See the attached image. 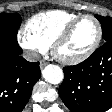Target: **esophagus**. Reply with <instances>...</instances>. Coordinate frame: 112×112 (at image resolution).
<instances>
[{
	"label": "esophagus",
	"mask_w": 112,
	"mask_h": 112,
	"mask_svg": "<svg viewBox=\"0 0 112 112\" xmlns=\"http://www.w3.org/2000/svg\"><path fill=\"white\" fill-rule=\"evenodd\" d=\"M46 65V62L44 61H40V68L43 69Z\"/></svg>",
	"instance_id": "34e87169"
}]
</instances>
